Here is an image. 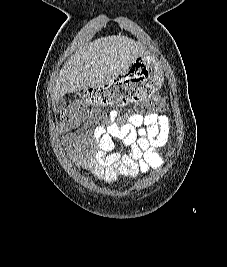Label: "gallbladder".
<instances>
[{"instance_id": "obj_1", "label": "gallbladder", "mask_w": 227, "mask_h": 267, "mask_svg": "<svg viewBox=\"0 0 227 267\" xmlns=\"http://www.w3.org/2000/svg\"><path fill=\"white\" fill-rule=\"evenodd\" d=\"M65 104H66L65 99H64L63 97L59 98V99L56 101V105H55V106H56V110H57V111L62 110V109L64 108Z\"/></svg>"}]
</instances>
